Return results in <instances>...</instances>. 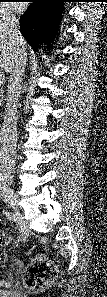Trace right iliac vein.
<instances>
[{
    "label": "right iliac vein",
    "instance_id": "right-iliac-vein-1",
    "mask_svg": "<svg viewBox=\"0 0 107 297\" xmlns=\"http://www.w3.org/2000/svg\"><path fill=\"white\" fill-rule=\"evenodd\" d=\"M5 199H6V202L10 205V207L12 208V210L14 211V215L17 217V218H20V211L17 207V201H16V198L15 196L12 194V193H8L6 196H5ZM20 241L22 240V238L24 237V232L21 233L20 235Z\"/></svg>",
    "mask_w": 107,
    "mask_h": 297
}]
</instances>
